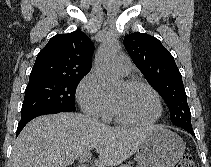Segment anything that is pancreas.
<instances>
[{
    "label": "pancreas",
    "instance_id": "obj_1",
    "mask_svg": "<svg viewBox=\"0 0 211 167\" xmlns=\"http://www.w3.org/2000/svg\"><path fill=\"white\" fill-rule=\"evenodd\" d=\"M120 167H132V166L129 164H122Z\"/></svg>",
    "mask_w": 211,
    "mask_h": 167
}]
</instances>
